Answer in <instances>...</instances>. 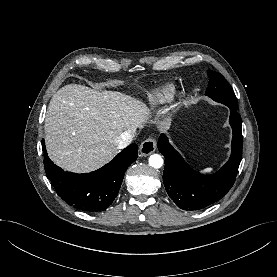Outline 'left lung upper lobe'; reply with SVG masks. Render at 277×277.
Masks as SVG:
<instances>
[{
  "label": "left lung upper lobe",
  "instance_id": "1",
  "mask_svg": "<svg viewBox=\"0 0 277 277\" xmlns=\"http://www.w3.org/2000/svg\"><path fill=\"white\" fill-rule=\"evenodd\" d=\"M208 77L209 84L206 90V95L211 97L216 102L238 109L233 89L227 83L225 78L220 73L211 70H208Z\"/></svg>",
  "mask_w": 277,
  "mask_h": 277
}]
</instances>
